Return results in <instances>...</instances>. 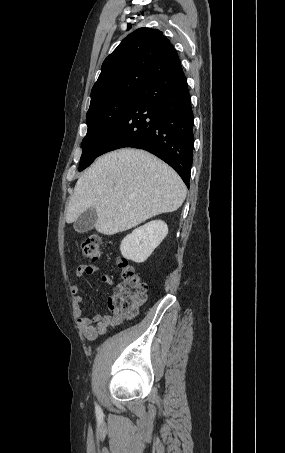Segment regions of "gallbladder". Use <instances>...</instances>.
Listing matches in <instances>:
<instances>
[{"mask_svg":"<svg viewBox=\"0 0 285 453\" xmlns=\"http://www.w3.org/2000/svg\"><path fill=\"white\" fill-rule=\"evenodd\" d=\"M97 221V213L95 208L91 207L84 211L74 222L75 231L84 233L90 231L95 226Z\"/></svg>","mask_w":285,"mask_h":453,"instance_id":"1","label":"gallbladder"}]
</instances>
